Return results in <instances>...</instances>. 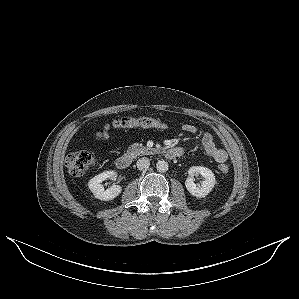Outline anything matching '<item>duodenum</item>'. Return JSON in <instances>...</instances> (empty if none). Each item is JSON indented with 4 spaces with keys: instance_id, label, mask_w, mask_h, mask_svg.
Returning a JSON list of instances; mask_svg holds the SVG:
<instances>
[{
    "instance_id": "1",
    "label": "duodenum",
    "mask_w": 299,
    "mask_h": 299,
    "mask_svg": "<svg viewBox=\"0 0 299 299\" xmlns=\"http://www.w3.org/2000/svg\"><path fill=\"white\" fill-rule=\"evenodd\" d=\"M183 154V149L179 147H171L165 151V155L169 159H175ZM132 162V158L129 154H123L117 157L115 164L118 169H127Z\"/></svg>"
}]
</instances>
